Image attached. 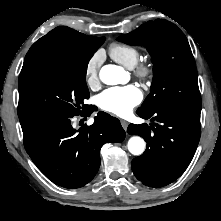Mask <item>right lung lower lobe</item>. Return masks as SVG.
<instances>
[{"label": "right lung lower lobe", "mask_w": 221, "mask_h": 221, "mask_svg": "<svg viewBox=\"0 0 221 221\" xmlns=\"http://www.w3.org/2000/svg\"><path fill=\"white\" fill-rule=\"evenodd\" d=\"M94 111L95 106L88 105L79 114L57 113L21 122L28 155L53 183L71 189L84 186L98 172L102 146L124 140L120 121L105 112H99L91 126L72 127L75 115L89 117Z\"/></svg>", "instance_id": "obj_1"}]
</instances>
